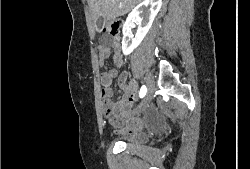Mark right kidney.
I'll list each match as a JSON object with an SVG mask.
<instances>
[{"label": "right kidney", "mask_w": 250, "mask_h": 169, "mask_svg": "<svg viewBox=\"0 0 250 169\" xmlns=\"http://www.w3.org/2000/svg\"><path fill=\"white\" fill-rule=\"evenodd\" d=\"M161 6L162 0H143V2H140V4H137L133 8L126 22L123 24V54H130L142 42ZM134 22H137L138 28L135 36H132L131 28L135 26Z\"/></svg>", "instance_id": "obj_1"}]
</instances>
